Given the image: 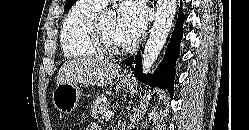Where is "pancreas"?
<instances>
[{"instance_id": "cf45deb5", "label": "pancreas", "mask_w": 249, "mask_h": 130, "mask_svg": "<svg viewBox=\"0 0 249 130\" xmlns=\"http://www.w3.org/2000/svg\"><path fill=\"white\" fill-rule=\"evenodd\" d=\"M109 109L108 103L105 101L104 95H99L95 98L91 105L92 117L95 119L103 118L105 111Z\"/></svg>"}]
</instances>
